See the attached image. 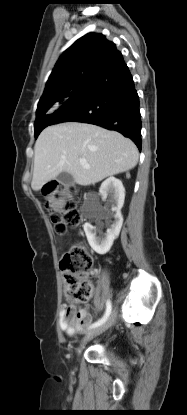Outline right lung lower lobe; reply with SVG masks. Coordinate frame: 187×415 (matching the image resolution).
Listing matches in <instances>:
<instances>
[{
    "instance_id": "1",
    "label": "right lung lower lobe",
    "mask_w": 187,
    "mask_h": 415,
    "mask_svg": "<svg viewBox=\"0 0 187 415\" xmlns=\"http://www.w3.org/2000/svg\"><path fill=\"white\" fill-rule=\"evenodd\" d=\"M70 121L115 130L141 150L139 96L122 55L87 79L83 90L54 112L51 125Z\"/></svg>"
}]
</instances>
